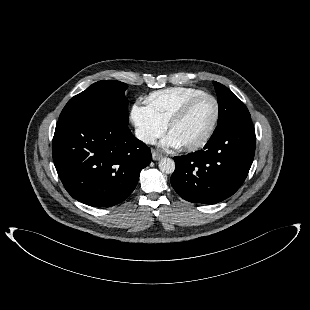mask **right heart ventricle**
Here are the masks:
<instances>
[{
    "label": "right heart ventricle",
    "instance_id": "1",
    "mask_svg": "<svg viewBox=\"0 0 310 310\" xmlns=\"http://www.w3.org/2000/svg\"><path fill=\"white\" fill-rule=\"evenodd\" d=\"M203 93L190 87H172L150 93L145 101L152 114L167 125L186 101Z\"/></svg>",
    "mask_w": 310,
    "mask_h": 310
}]
</instances>
